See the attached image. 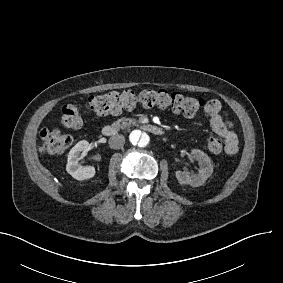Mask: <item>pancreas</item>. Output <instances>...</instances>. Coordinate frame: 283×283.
Wrapping results in <instances>:
<instances>
[{
  "mask_svg": "<svg viewBox=\"0 0 283 283\" xmlns=\"http://www.w3.org/2000/svg\"><path fill=\"white\" fill-rule=\"evenodd\" d=\"M136 124H137L136 119L121 118V119L117 120L116 122H114L112 124V126L117 128L118 130H120V129H125L127 127H130L131 125H136Z\"/></svg>",
  "mask_w": 283,
  "mask_h": 283,
  "instance_id": "1",
  "label": "pancreas"
}]
</instances>
